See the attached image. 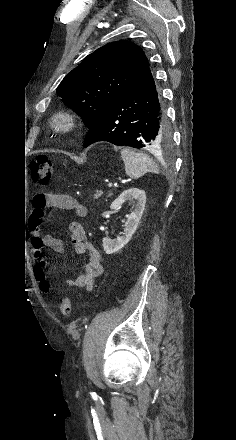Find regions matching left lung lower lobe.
Wrapping results in <instances>:
<instances>
[{
	"label": "left lung lower lobe",
	"mask_w": 236,
	"mask_h": 440,
	"mask_svg": "<svg viewBox=\"0 0 236 440\" xmlns=\"http://www.w3.org/2000/svg\"><path fill=\"white\" fill-rule=\"evenodd\" d=\"M169 138L163 98L148 69L90 128L83 146L107 141L117 146L154 149Z\"/></svg>",
	"instance_id": "obj_1"
}]
</instances>
